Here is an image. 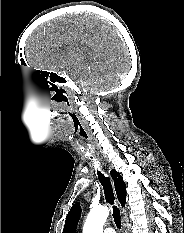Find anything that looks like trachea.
I'll list each match as a JSON object with an SVG mask.
<instances>
[{
	"mask_svg": "<svg viewBox=\"0 0 184 233\" xmlns=\"http://www.w3.org/2000/svg\"><path fill=\"white\" fill-rule=\"evenodd\" d=\"M79 135L81 137V140L85 143L87 142L88 139V134L85 131L84 128H80L79 130ZM86 148V152L88 155H91V150L88 148L87 145H85ZM98 176H99V181L103 186V190H104V194H105V198L106 201L112 205L113 208V218L115 221V224L117 226V228H121V215H120V210L117 208V206L115 205V196H114V192H113V188H112V184L111 181L108 177H105L100 171L97 172Z\"/></svg>",
	"mask_w": 184,
	"mask_h": 233,
	"instance_id": "3493384b",
	"label": "trachea"
}]
</instances>
